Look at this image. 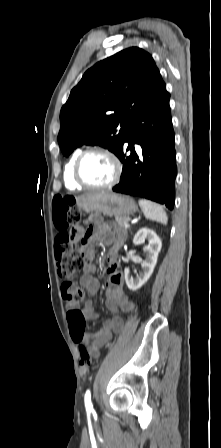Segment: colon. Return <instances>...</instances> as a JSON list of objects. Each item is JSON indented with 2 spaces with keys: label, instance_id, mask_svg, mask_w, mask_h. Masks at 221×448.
Returning a JSON list of instances; mask_svg holds the SVG:
<instances>
[{
  "label": "colon",
  "instance_id": "colon-1",
  "mask_svg": "<svg viewBox=\"0 0 221 448\" xmlns=\"http://www.w3.org/2000/svg\"><path fill=\"white\" fill-rule=\"evenodd\" d=\"M75 198L72 196H57L53 201V222L58 232L55 245L57 269L60 277L64 279L62 295L70 307L68 314L70 334L73 341L80 343L85 337L86 322L78 311L83 301L85 290L75 284V277L86 269V256L80 251L76 243L80 234L70 227L77 226L81 220L80 211L75 208ZM81 364L89 365L91 357L89 352L81 349Z\"/></svg>",
  "mask_w": 221,
  "mask_h": 448
}]
</instances>
